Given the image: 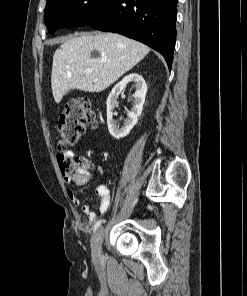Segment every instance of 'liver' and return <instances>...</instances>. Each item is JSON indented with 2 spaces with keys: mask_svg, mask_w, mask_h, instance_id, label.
<instances>
[{
  "mask_svg": "<svg viewBox=\"0 0 247 296\" xmlns=\"http://www.w3.org/2000/svg\"><path fill=\"white\" fill-rule=\"evenodd\" d=\"M97 51L98 57L92 52ZM150 51L143 43L117 33L70 37L53 56L51 87L56 103L70 89L101 92L133 68ZM91 68L92 73L85 70Z\"/></svg>",
  "mask_w": 247,
  "mask_h": 296,
  "instance_id": "liver-1",
  "label": "liver"
}]
</instances>
